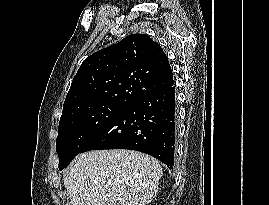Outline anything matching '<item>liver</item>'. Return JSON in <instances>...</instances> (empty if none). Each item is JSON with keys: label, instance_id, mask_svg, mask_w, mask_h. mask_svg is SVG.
<instances>
[{"label": "liver", "instance_id": "liver-1", "mask_svg": "<svg viewBox=\"0 0 269 205\" xmlns=\"http://www.w3.org/2000/svg\"><path fill=\"white\" fill-rule=\"evenodd\" d=\"M159 162L134 150H93L64 176L71 205H147L158 192Z\"/></svg>", "mask_w": 269, "mask_h": 205}]
</instances>
